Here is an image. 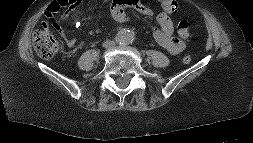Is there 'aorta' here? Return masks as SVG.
<instances>
[{"mask_svg": "<svg viewBox=\"0 0 253 143\" xmlns=\"http://www.w3.org/2000/svg\"><path fill=\"white\" fill-rule=\"evenodd\" d=\"M134 38H135L134 32L128 29H122L117 33V41L120 44H129L133 42Z\"/></svg>", "mask_w": 253, "mask_h": 143, "instance_id": "aorta-1", "label": "aorta"}]
</instances>
